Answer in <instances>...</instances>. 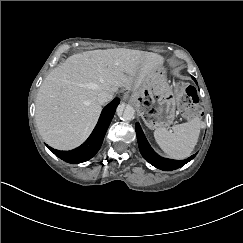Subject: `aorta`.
<instances>
[{
    "instance_id": "obj_1",
    "label": "aorta",
    "mask_w": 243,
    "mask_h": 243,
    "mask_svg": "<svg viewBox=\"0 0 243 243\" xmlns=\"http://www.w3.org/2000/svg\"><path fill=\"white\" fill-rule=\"evenodd\" d=\"M117 116L125 121H132L135 118V110L129 104L123 103L117 107Z\"/></svg>"
}]
</instances>
